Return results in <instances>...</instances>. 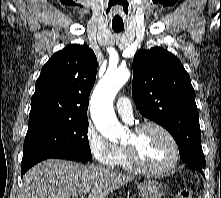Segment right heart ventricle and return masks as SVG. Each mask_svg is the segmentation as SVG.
<instances>
[{
	"mask_svg": "<svg viewBox=\"0 0 221 198\" xmlns=\"http://www.w3.org/2000/svg\"><path fill=\"white\" fill-rule=\"evenodd\" d=\"M114 165L123 168L125 170L133 169V167L130 165L128 161L124 146H117V156Z\"/></svg>",
	"mask_w": 221,
	"mask_h": 198,
	"instance_id": "obj_1",
	"label": "right heart ventricle"
}]
</instances>
